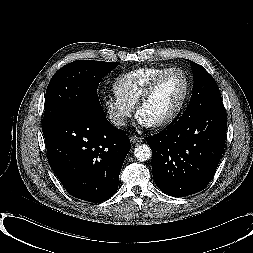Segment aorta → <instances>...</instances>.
<instances>
[{"instance_id": "obj_1", "label": "aorta", "mask_w": 253, "mask_h": 253, "mask_svg": "<svg viewBox=\"0 0 253 253\" xmlns=\"http://www.w3.org/2000/svg\"><path fill=\"white\" fill-rule=\"evenodd\" d=\"M134 156L139 161L142 162L147 161L151 157V149L146 144L137 145L136 148L134 149Z\"/></svg>"}]
</instances>
